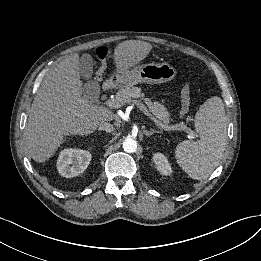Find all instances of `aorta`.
Listing matches in <instances>:
<instances>
[{"mask_svg":"<svg viewBox=\"0 0 261 261\" xmlns=\"http://www.w3.org/2000/svg\"><path fill=\"white\" fill-rule=\"evenodd\" d=\"M123 149L127 153H134L137 150V141L133 138H126L123 142Z\"/></svg>","mask_w":261,"mask_h":261,"instance_id":"aorta-1","label":"aorta"}]
</instances>
